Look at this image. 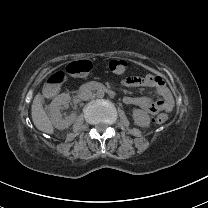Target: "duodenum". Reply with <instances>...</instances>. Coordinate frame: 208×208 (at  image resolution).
<instances>
[{
    "mask_svg": "<svg viewBox=\"0 0 208 208\" xmlns=\"http://www.w3.org/2000/svg\"><path fill=\"white\" fill-rule=\"evenodd\" d=\"M81 90L82 91L98 90V91H104V92H106L110 95L114 94V92L110 88H108V87H106L103 84L98 83V82L86 83V84L82 85Z\"/></svg>",
    "mask_w": 208,
    "mask_h": 208,
    "instance_id": "obj_1",
    "label": "duodenum"
}]
</instances>
